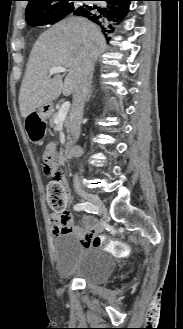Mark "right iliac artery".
Segmentation results:
<instances>
[{
    "label": "right iliac artery",
    "mask_w": 183,
    "mask_h": 329,
    "mask_svg": "<svg viewBox=\"0 0 183 329\" xmlns=\"http://www.w3.org/2000/svg\"><path fill=\"white\" fill-rule=\"evenodd\" d=\"M74 210L75 211H86L88 213H94L97 214L98 213V209L95 205H93L92 203L89 202H83V203H78L76 205H74Z\"/></svg>",
    "instance_id": "obj_1"
}]
</instances>
